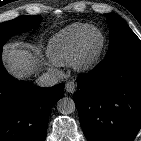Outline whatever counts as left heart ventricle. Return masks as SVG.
Segmentation results:
<instances>
[{"instance_id":"left-heart-ventricle-1","label":"left heart ventricle","mask_w":141,"mask_h":141,"mask_svg":"<svg viewBox=\"0 0 141 141\" xmlns=\"http://www.w3.org/2000/svg\"><path fill=\"white\" fill-rule=\"evenodd\" d=\"M100 35L98 33H93L91 34L90 38H89V42H88V48L90 52H93L94 50L97 49V47L100 44Z\"/></svg>"}]
</instances>
